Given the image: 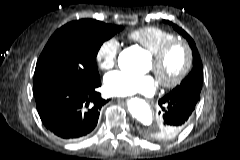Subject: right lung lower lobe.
<instances>
[{
    "instance_id": "obj_1",
    "label": "right lung lower lobe",
    "mask_w": 240,
    "mask_h": 160,
    "mask_svg": "<svg viewBox=\"0 0 240 160\" xmlns=\"http://www.w3.org/2000/svg\"><path fill=\"white\" fill-rule=\"evenodd\" d=\"M99 86L100 79L86 87L52 81L34 89L43 124L63 139L77 140L87 136L96 127L102 106L108 102L100 97Z\"/></svg>"
}]
</instances>
